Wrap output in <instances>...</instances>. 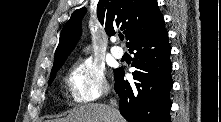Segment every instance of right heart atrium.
<instances>
[{
  "mask_svg": "<svg viewBox=\"0 0 221 122\" xmlns=\"http://www.w3.org/2000/svg\"><path fill=\"white\" fill-rule=\"evenodd\" d=\"M68 82L76 103L93 102L109 91L104 67L92 60L75 63L69 72Z\"/></svg>",
  "mask_w": 221,
  "mask_h": 122,
  "instance_id": "1",
  "label": "right heart atrium"
}]
</instances>
